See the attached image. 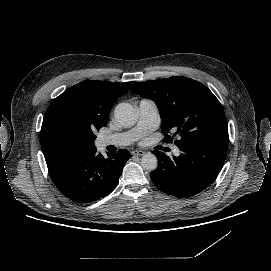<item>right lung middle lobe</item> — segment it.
<instances>
[{
    "instance_id": "dd1d6c3e",
    "label": "right lung middle lobe",
    "mask_w": 271,
    "mask_h": 271,
    "mask_svg": "<svg viewBox=\"0 0 271 271\" xmlns=\"http://www.w3.org/2000/svg\"><path fill=\"white\" fill-rule=\"evenodd\" d=\"M101 127L82 116L73 100L52 101L41 127L43 153L94 147V132Z\"/></svg>"
}]
</instances>
